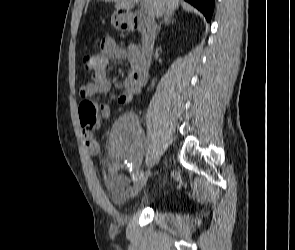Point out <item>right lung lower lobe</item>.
<instances>
[{
    "instance_id": "right-lung-lower-lobe-1",
    "label": "right lung lower lobe",
    "mask_w": 295,
    "mask_h": 250,
    "mask_svg": "<svg viewBox=\"0 0 295 250\" xmlns=\"http://www.w3.org/2000/svg\"><path fill=\"white\" fill-rule=\"evenodd\" d=\"M199 9L206 17L207 21L211 19L214 0H185Z\"/></svg>"
}]
</instances>
